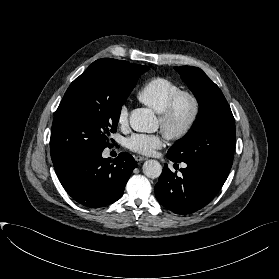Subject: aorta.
Returning a JSON list of instances; mask_svg holds the SVG:
<instances>
[{
  "label": "aorta",
  "mask_w": 279,
  "mask_h": 279,
  "mask_svg": "<svg viewBox=\"0 0 279 279\" xmlns=\"http://www.w3.org/2000/svg\"><path fill=\"white\" fill-rule=\"evenodd\" d=\"M130 126L137 132L152 133L158 129V119L148 108H137L131 112ZM143 173L149 178H158L162 173V166L156 160H147L143 164Z\"/></svg>",
  "instance_id": "762f6f07"
}]
</instances>
